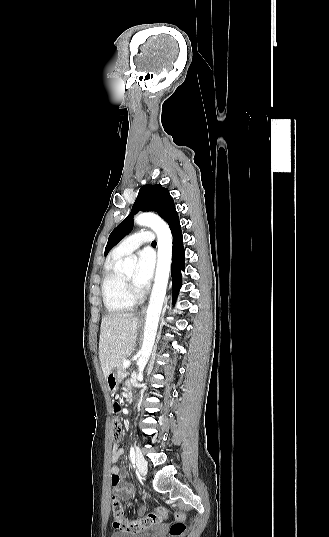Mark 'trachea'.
I'll return each mask as SVG.
<instances>
[{"label": "trachea", "instance_id": "1", "mask_svg": "<svg viewBox=\"0 0 329 537\" xmlns=\"http://www.w3.org/2000/svg\"><path fill=\"white\" fill-rule=\"evenodd\" d=\"M152 245H156V242H155V241H153V242H152Z\"/></svg>", "mask_w": 329, "mask_h": 537}]
</instances>
